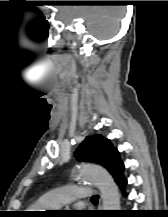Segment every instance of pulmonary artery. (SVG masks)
Instances as JSON below:
<instances>
[{
	"instance_id": "pulmonary-artery-1",
	"label": "pulmonary artery",
	"mask_w": 168,
	"mask_h": 217,
	"mask_svg": "<svg viewBox=\"0 0 168 217\" xmlns=\"http://www.w3.org/2000/svg\"><path fill=\"white\" fill-rule=\"evenodd\" d=\"M92 196V188L68 185L45 192L40 200L50 209H59L76 200L88 199Z\"/></svg>"
}]
</instances>
